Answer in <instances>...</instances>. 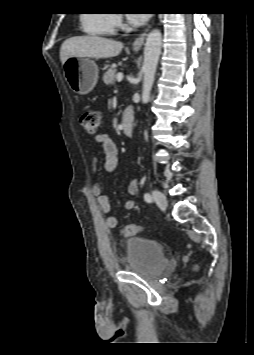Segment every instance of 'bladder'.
<instances>
[{"label":"bladder","instance_id":"1","mask_svg":"<svg viewBox=\"0 0 254 355\" xmlns=\"http://www.w3.org/2000/svg\"><path fill=\"white\" fill-rule=\"evenodd\" d=\"M126 269L155 278L166 265V254L163 246L151 239L132 237L126 242Z\"/></svg>","mask_w":254,"mask_h":355}]
</instances>
